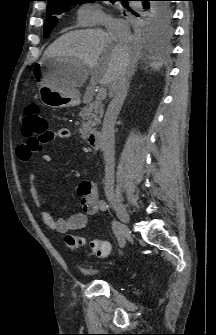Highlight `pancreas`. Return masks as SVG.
Segmentation results:
<instances>
[{"mask_svg":"<svg viewBox=\"0 0 216 335\" xmlns=\"http://www.w3.org/2000/svg\"><path fill=\"white\" fill-rule=\"evenodd\" d=\"M88 94V93H87ZM87 95L84 98L86 102ZM82 118V128L80 133L82 136H86L94 127L101 123V118L103 116L102 104L99 100H95L88 105H86L79 113Z\"/></svg>","mask_w":216,"mask_h":335,"instance_id":"cf45deb5","label":"pancreas"}]
</instances>
